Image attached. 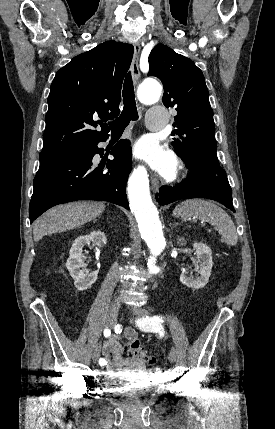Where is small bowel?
<instances>
[{"instance_id": "1", "label": "small bowel", "mask_w": 275, "mask_h": 429, "mask_svg": "<svg viewBox=\"0 0 275 429\" xmlns=\"http://www.w3.org/2000/svg\"><path fill=\"white\" fill-rule=\"evenodd\" d=\"M122 335L127 341L126 344H122L117 337H111L109 340L102 343V352L106 361L104 366H106L110 372L142 371L144 364L141 361L124 357L125 352L131 351V343L138 340L136 332L128 328L124 330Z\"/></svg>"}]
</instances>
